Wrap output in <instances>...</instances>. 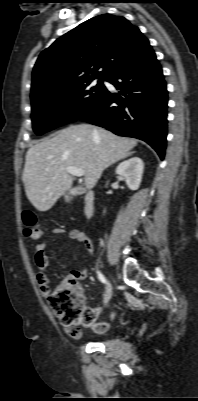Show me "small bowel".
<instances>
[{
	"mask_svg": "<svg viewBox=\"0 0 198 401\" xmlns=\"http://www.w3.org/2000/svg\"><path fill=\"white\" fill-rule=\"evenodd\" d=\"M65 233V230L62 228H54L52 230V234L54 235H61ZM69 239L79 242L89 254L93 253V244L90 237L82 230L79 229H72L68 232ZM34 263L36 267V279L39 285V288L44 294H48L50 291V283L49 279L45 275V270L49 264V256H48V245L47 243H41L36 247ZM88 270L83 269L80 271L75 272V275L79 279H85L88 276ZM86 299V296H83ZM107 301L105 300V303ZM99 309H94L93 312L96 313ZM116 315V311H112L110 314V319H113ZM108 323L105 322H95L92 326L93 330L97 333H103L107 329ZM79 336V333H78Z\"/></svg>",
	"mask_w": 198,
	"mask_h": 401,
	"instance_id": "obj_1",
	"label": "small bowel"
}]
</instances>
